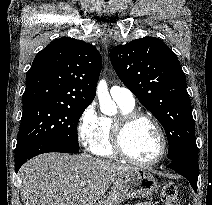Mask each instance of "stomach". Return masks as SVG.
I'll return each mask as SVG.
<instances>
[{
  "label": "stomach",
  "mask_w": 212,
  "mask_h": 205,
  "mask_svg": "<svg viewBox=\"0 0 212 205\" xmlns=\"http://www.w3.org/2000/svg\"><path fill=\"white\" fill-rule=\"evenodd\" d=\"M158 184L150 172L136 168L125 172L113 184L111 191L96 205H119L131 198H147L157 190Z\"/></svg>",
  "instance_id": "1"
}]
</instances>
